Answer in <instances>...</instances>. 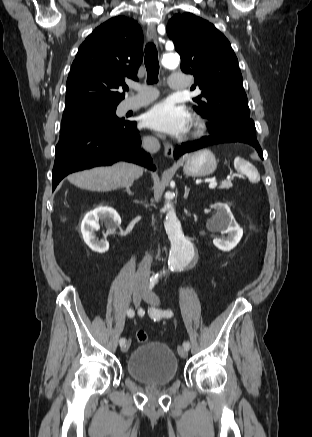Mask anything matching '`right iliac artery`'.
Listing matches in <instances>:
<instances>
[{"instance_id": "right-iliac-artery-1", "label": "right iliac artery", "mask_w": 312, "mask_h": 437, "mask_svg": "<svg viewBox=\"0 0 312 437\" xmlns=\"http://www.w3.org/2000/svg\"><path fill=\"white\" fill-rule=\"evenodd\" d=\"M139 312H140L141 314H143L142 309H140ZM127 315H128L129 317H133V316L135 315L134 310H133V309H129V310L127 311ZM119 343H120V345H123V344L125 343V338H121L120 341H119Z\"/></svg>"}]
</instances>
